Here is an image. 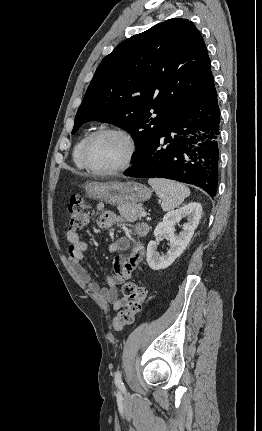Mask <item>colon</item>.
<instances>
[{"mask_svg": "<svg viewBox=\"0 0 262 431\" xmlns=\"http://www.w3.org/2000/svg\"><path fill=\"white\" fill-rule=\"evenodd\" d=\"M92 213V207L80 195H72L68 208L69 231L76 232L85 228ZM121 292L128 302L126 307L113 318L112 327L115 331H120L134 322L135 316L142 310L147 295L145 287L129 279L121 284Z\"/></svg>", "mask_w": 262, "mask_h": 431, "instance_id": "colon-1", "label": "colon"}]
</instances>
